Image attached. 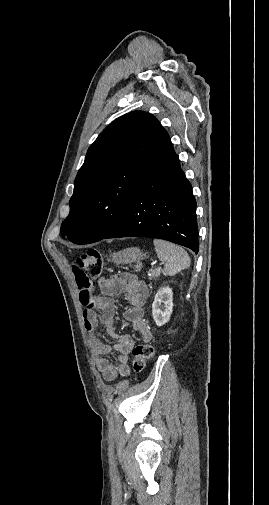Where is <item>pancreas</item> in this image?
<instances>
[{
	"mask_svg": "<svg viewBox=\"0 0 269 505\" xmlns=\"http://www.w3.org/2000/svg\"><path fill=\"white\" fill-rule=\"evenodd\" d=\"M160 273H161V269H156V270L150 271L149 275H150L151 278L155 279V278H157L160 275Z\"/></svg>",
	"mask_w": 269,
	"mask_h": 505,
	"instance_id": "pancreas-1",
	"label": "pancreas"
}]
</instances>
